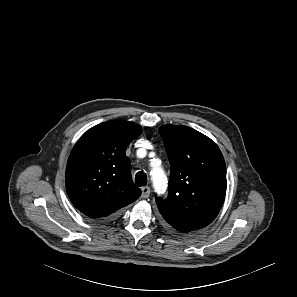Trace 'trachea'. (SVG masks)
Listing matches in <instances>:
<instances>
[{
    "label": "trachea",
    "instance_id": "3493384b",
    "mask_svg": "<svg viewBox=\"0 0 297 297\" xmlns=\"http://www.w3.org/2000/svg\"><path fill=\"white\" fill-rule=\"evenodd\" d=\"M147 184V176L145 173L143 172H137L136 176H135V185L142 187L145 186Z\"/></svg>",
    "mask_w": 297,
    "mask_h": 297
}]
</instances>
